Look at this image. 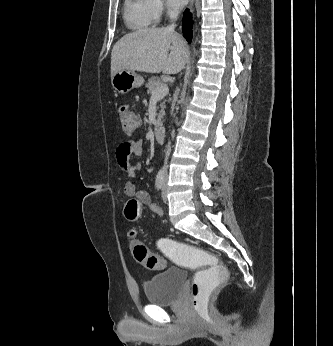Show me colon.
I'll list each match as a JSON object with an SVG mask.
<instances>
[{
    "label": "colon",
    "mask_w": 333,
    "mask_h": 346,
    "mask_svg": "<svg viewBox=\"0 0 333 346\" xmlns=\"http://www.w3.org/2000/svg\"><path fill=\"white\" fill-rule=\"evenodd\" d=\"M123 133L131 136L139 125L137 114L129 105L123 104L118 110ZM140 203L131 199L126 203L124 216L128 222H135L139 217ZM133 235V233H132ZM160 240L155 245L158 255L149 251L147 246L137 239H132L130 247L134 259L150 270H162L167 266L166 260L174 268H189L198 271L191 285L192 310L198 315L209 309V299L217 293V288H226L230 273L221 257L193 247V244H181L180 240ZM161 256H165V259Z\"/></svg>",
    "instance_id": "5ec220e1"
}]
</instances>
